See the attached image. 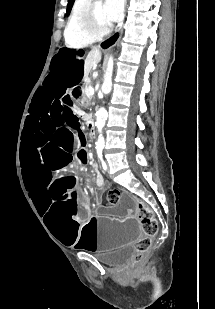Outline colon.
Wrapping results in <instances>:
<instances>
[{"instance_id":"5ec220e1","label":"colon","mask_w":215,"mask_h":309,"mask_svg":"<svg viewBox=\"0 0 215 309\" xmlns=\"http://www.w3.org/2000/svg\"><path fill=\"white\" fill-rule=\"evenodd\" d=\"M119 197L120 194L117 190H111L107 195V201L111 205H116L119 201ZM141 216L144 237L138 240L135 244V257L137 259L146 256L151 245V238L158 232L157 223L148 208H141Z\"/></svg>"}]
</instances>
